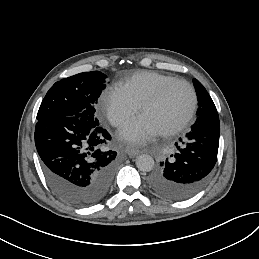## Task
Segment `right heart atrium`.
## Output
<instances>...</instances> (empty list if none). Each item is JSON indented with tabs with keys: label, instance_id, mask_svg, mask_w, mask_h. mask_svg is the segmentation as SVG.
Segmentation results:
<instances>
[{
	"label": "right heart atrium",
	"instance_id": "obj_1",
	"mask_svg": "<svg viewBox=\"0 0 259 259\" xmlns=\"http://www.w3.org/2000/svg\"><path fill=\"white\" fill-rule=\"evenodd\" d=\"M101 115L113 126H121L133 119L140 111V105L117 86L105 87L98 96Z\"/></svg>",
	"mask_w": 259,
	"mask_h": 259
}]
</instances>
